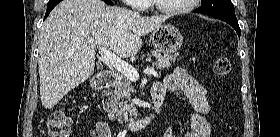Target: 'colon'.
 Returning <instances> with one entry per match:
<instances>
[{
    "label": "colon",
    "mask_w": 280,
    "mask_h": 137,
    "mask_svg": "<svg viewBox=\"0 0 280 137\" xmlns=\"http://www.w3.org/2000/svg\"><path fill=\"white\" fill-rule=\"evenodd\" d=\"M214 73L217 76H227L231 71V63L227 56L218 55L214 61ZM71 129V120L64 113L62 108H54L47 121V136L48 137H69ZM103 137H110L108 129H104Z\"/></svg>",
    "instance_id": "obj_1"
}]
</instances>
